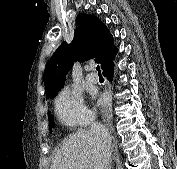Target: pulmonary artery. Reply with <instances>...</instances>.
Instances as JSON below:
<instances>
[{
  "label": "pulmonary artery",
  "mask_w": 177,
  "mask_h": 169,
  "mask_svg": "<svg viewBox=\"0 0 177 169\" xmlns=\"http://www.w3.org/2000/svg\"><path fill=\"white\" fill-rule=\"evenodd\" d=\"M93 69H94V66H93V65H90V66L88 67V71H89V72H88L87 75H86L87 81H88L89 83H92V84L97 83L98 80H99L98 75L93 72Z\"/></svg>",
  "instance_id": "e3ab8cb5"
}]
</instances>
